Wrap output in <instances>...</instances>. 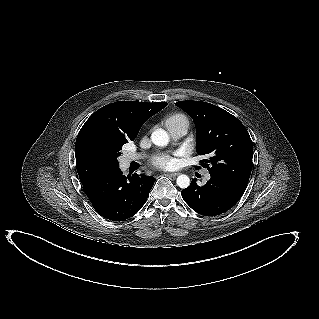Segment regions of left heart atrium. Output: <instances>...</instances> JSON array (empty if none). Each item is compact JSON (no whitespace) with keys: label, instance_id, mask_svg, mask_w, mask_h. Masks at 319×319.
Instances as JSON below:
<instances>
[{"label":"left heart atrium","instance_id":"left-heart-atrium-1","mask_svg":"<svg viewBox=\"0 0 319 319\" xmlns=\"http://www.w3.org/2000/svg\"><path fill=\"white\" fill-rule=\"evenodd\" d=\"M152 164L157 168L170 169L176 164L175 159L169 155H162L152 160Z\"/></svg>","mask_w":319,"mask_h":319}]
</instances>
